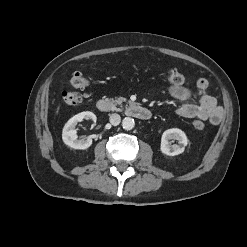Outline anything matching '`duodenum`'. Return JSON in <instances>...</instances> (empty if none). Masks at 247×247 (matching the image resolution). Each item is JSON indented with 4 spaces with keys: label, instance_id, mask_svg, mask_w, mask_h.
Wrapping results in <instances>:
<instances>
[{
    "label": "duodenum",
    "instance_id": "1",
    "mask_svg": "<svg viewBox=\"0 0 247 247\" xmlns=\"http://www.w3.org/2000/svg\"><path fill=\"white\" fill-rule=\"evenodd\" d=\"M96 107L101 112H110L113 110L111 102L104 98L99 99L96 102ZM125 113L140 120H149L152 116V113L149 109L135 103L128 105L125 108Z\"/></svg>",
    "mask_w": 247,
    "mask_h": 247
}]
</instances>
